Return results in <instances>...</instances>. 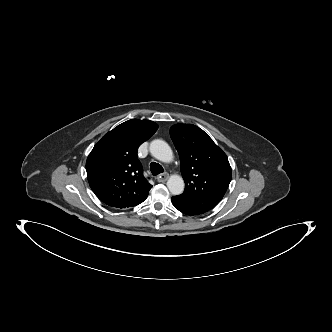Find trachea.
Returning a JSON list of instances; mask_svg holds the SVG:
<instances>
[{
	"mask_svg": "<svg viewBox=\"0 0 332 332\" xmlns=\"http://www.w3.org/2000/svg\"><path fill=\"white\" fill-rule=\"evenodd\" d=\"M150 171H151L152 175L156 176L160 173H163L164 169L160 164H158L156 162H152L150 164Z\"/></svg>",
	"mask_w": 332,
	"mask_h": 332,
	"instance_id": "trachea-1",
	"label": "trachea"
}]
</instances>
